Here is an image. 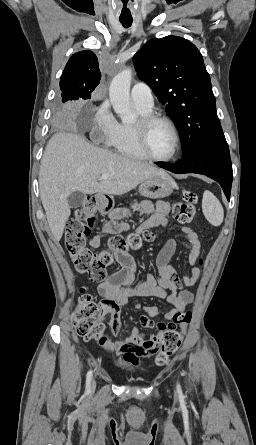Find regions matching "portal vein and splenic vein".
<instances>
[{
  "mask_svg": "<svg viewBox=\"0 0 256 445\" xmlns=\"http://www.w3.org/2000/svg\"><path fill=\"white\" fill-rule=\"evenodd\" d=\"M109 177H110V175H108V174H102L100 179L105 180V179H108Z\"/></svg>",
  "mask_w": 256,
  "mask_h": 445,
  "instance_id": "1",
  "label": "portal vein and splenic vein"
}]
</instances>
